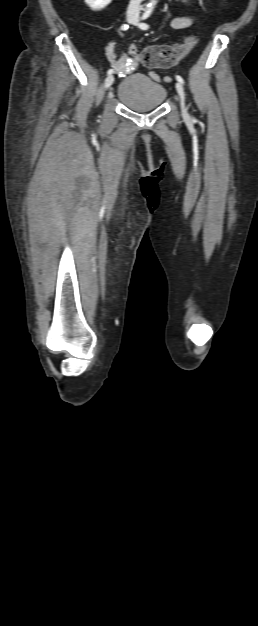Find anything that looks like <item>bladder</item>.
<instances>
[{
    "mask_svg": "<svg viewBox=\"0 0 258 626\" xmlns=\"http://www.w3.org/2000/svg\"><path fill=\"white\" fill-rule=\"evenodd\" d=\"M166 97L165 87L146 75L128 76L117 88L118 100L129 110L139 113L159 108Z\"/></svg>",
    "mask_w": 258,
    "mask_h": 626,
    "instance_id": "obj_1",
    "label": "bladder"
}]
</instances>
